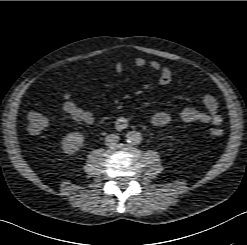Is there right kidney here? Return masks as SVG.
Returning a JSON list of instances; mask_svg holds the SVG:
<instances>
[{
	"mask_svg": "<svg viewBox=\"0 0 247 245\" xmlns=\"http://www.w3.org/2000/svg\"><path fill=\"white\" fill-rule=\"evenodd\" d=\"M84 135L81 132H71L62 140V149L65 153L72 154L83 146Z\"/></svg>",
	"mask_w": 247,
	"mask_h": 245,
	"instance_id": "right-kidney-1",
	"label": "right kidney"
}]
</instances>
